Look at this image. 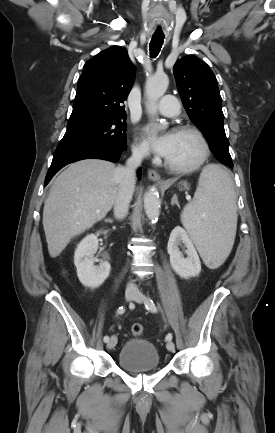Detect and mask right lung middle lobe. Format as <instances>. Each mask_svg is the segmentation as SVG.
Returning a JSON list of instances; mask_svg holds the SVG:
<instances>
[{
	"label": "right lung middle lobe",
	"mask_w": 275,
	"mask_h": 433,
	"mask_svg": "<svg viewBox=\"0 0 275 433\" xmlns=\"http://www.w3.org/2000/svg\"><path fill=\"white\" fill-rule=\"evenodd\" d=\"M125 117L83 116L70 118L67 131L56 150L97 146L126 148Z\"/></svg>",
	"instance_id": "right-lung-middle-lobe-1"
}]
</instances>
